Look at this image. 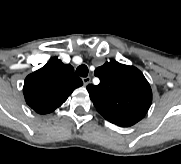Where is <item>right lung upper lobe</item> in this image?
Segmentation results:
<instances>
[{
    "label": "right lung upper lobe",
    "instance_id": "obj_1",
    "mask_svg": "<svg viewBox=\"0 0 181 164\" xmlns=\"http://www.w3.org/2000/svg\"><path fill=\"white\" fill-rule=\"evenodd\" d=\"M82 85L74 68L54 57L26 77L23 93L26 103L34 111L47 114L60 107L73 90Z\"/></svg>",
    "mask_w": 181,
    "mask_h": 164
}]
</instances>
